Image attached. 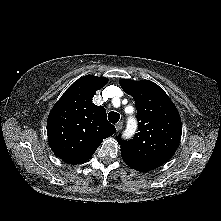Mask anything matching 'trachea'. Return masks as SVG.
Segmentation results:
<instances>
[{
    "label": "trachea",
    "mask_w": 221,
    "mask_h": 221,
    "mask_svg": "<svg viewBox=\"0 0 221 221\" xmlns=\"http://www.w3.org/2000/svg\"><path fill=\"white\" fill-rule=\"evenodd\" d=\"M119 119H120V115L117 112L111 111L108 114V120L113 124L117 123Z\"/></svg>",
    "instance_id": "trachea-1"
}]
</instances>
